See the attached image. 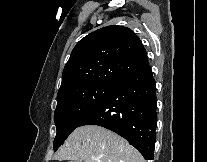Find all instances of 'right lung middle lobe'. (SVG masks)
Here are the masks:
<instances>
[{
  "label": "right lung middle lobe",
  "instance_id": "right-lung-middle-lobe-1",
  "mask_svg": "<svg viewBox=\"0 0 207 162\" xmlns=\"http://www.w3.org/2000/svg\"><path fill=\"white\" fill-rule=\"evenodd\" d=\"M115 84H95L81 87L57 96L54 121L57 134L54 139V151L64 142L69 134L112 91Z\"/></svg>",
  "mask_w": 207,
  "mask_h": 162
}]
</instances>
